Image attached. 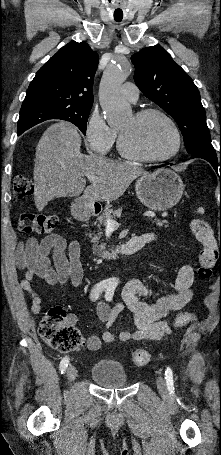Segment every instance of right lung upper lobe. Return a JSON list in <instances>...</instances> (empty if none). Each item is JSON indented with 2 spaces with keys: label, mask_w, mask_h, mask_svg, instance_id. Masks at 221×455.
<instances>
[{
  "label": "right lung upper lobe",
  "mask_w": 221,
  "mask_h": 455,
  "mask_svg": "<svg viewBox=\"0 0 221 455\" xmlns=\"http://www.w3.org/2000/svg\"><path fill=\"white\" fill-rule=\"evenodd\" d=\"M98 60V54L86 42L66 44L38 70L22 105L40 102L92 104Z\"/></svg>",
  "instance_id": "right-lung-upper-lobe-1"
}]
</instances>
